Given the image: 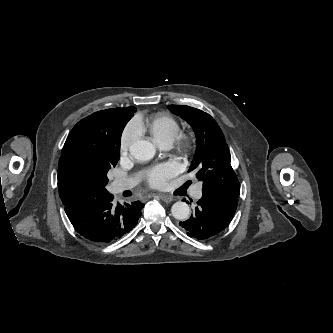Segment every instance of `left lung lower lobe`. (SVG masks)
Listing matches in <instances>:
<instances>
[{
	"label": "left lung lower lobe",
	"instance_id": "1",
	"mask_svg": "<svg viewBox=\"0 0 333 333\" xmlns=\"http://www.w3.org/2000/svg\"><path fill=\"white\" fill-rule=\"evenodd\" d=\"M238 204V197H222L202 191L193 215L180 222L187 235L198 240L207 239L225 229L231 222Z\"/></svg>",
	"mask_w": 333,
	"mask_h": 333
}]
</instances>
